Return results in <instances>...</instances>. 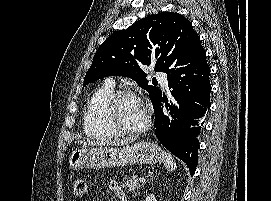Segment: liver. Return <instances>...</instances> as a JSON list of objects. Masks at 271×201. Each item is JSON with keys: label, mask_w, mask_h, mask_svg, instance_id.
Returning a JSON list of instances; mask_svg holds the SVG:
<instances>
[{"label": "liver", "mask_w": 271, "mask_h": 201, "mask_svg": "<svg viewBox=\"0 0 271 201\" xmlns=\"http://www.w3.org/2000/svg\"><path fill=\"white\" fill-rule=\"evenodd\" d=\"M133 142V139L123 138V139H114L109 141H94V140H78L76 143L83 145H104V146H124Z\"/></svg>", "instance_id": "1"}]
</instances>
